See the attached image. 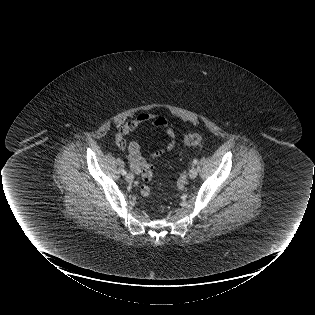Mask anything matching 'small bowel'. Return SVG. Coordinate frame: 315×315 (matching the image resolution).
I'll use <instances>...</instances> for the list:
<instances>
[{"instance_id": "c3829d8e", "label": "small bowel", "mask_w": 315, "mask_h": 315, "mask_svg": "<svg viewBox=\"0 0 315 315\" xmlns=\"http://www.w3.org/2000/svg\"><path fill=\"white\" fill-rule=\"evenodd\" d=\"M146 124H150L153 127L162 130L169 138L167 143L160 149L153 152L154 157H159L167 151H171L175 147V133L170 128L168 120L160 115L154 113H140L134 119L126 121L121 124V132L123 134L137 133L140 128ZM129 162L131 169L140 174L146 160L142 156L141 146L137 140H132L128 146Z\"/></svg>"}]
</instances>
